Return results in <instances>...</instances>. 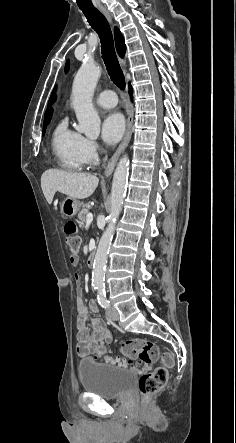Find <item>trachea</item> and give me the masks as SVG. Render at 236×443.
Listing matches in <instances>:
<instances>
[{
    "label": "trachea",
    "mask_w": 236,
    "mask_h": 443,
    "mask_svg": "<svg viewBox=\"0 0 236 443\" xmlns=\"http://www.w3.org/2000/svg\"><path fill=\"white\" fill-rule=\"evenodd\" d=\"M81 10L91 27L99 35L101 41L102 58L111 80L118 88L124 90L125 77L116 56L113 36L108 21L96 8Z\"/></svg>",
    "instance_id": "obj_1"
}]
</instances>
